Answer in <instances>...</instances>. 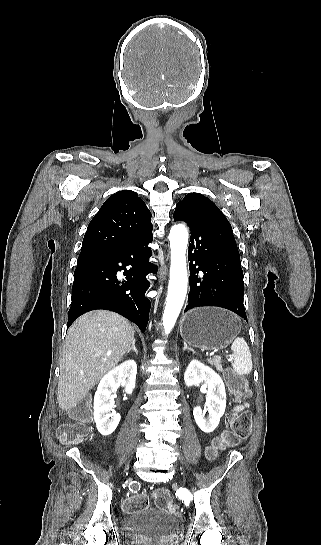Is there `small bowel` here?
Returning <instances> with one entry per match:
<instances>
[{"mask_svg":"<svg viewBox=\"0 0 321 545\" xmlns=\"http://www.w3.org/2000/svg\"><path fill=\"white\" fill-rule=\"evenodd\" d=\"M245 407H246V405H240V406H237V407L235 408V410H236V411H240V410L244 409Z\"/></svg>","mask_w":321,"mask_h":545,"instance_id":"obj_1","label":"small bowel"}]
</instances>
